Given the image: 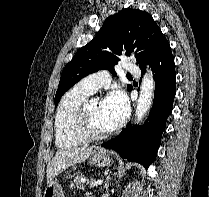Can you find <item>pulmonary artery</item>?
Listing matches in <instances>:
<instances>
[{"label":"pulmonary artery","instance_id":"1","mask_svg":"<svg viewBox=\"0 0 209 197\" xmlns=\"http://www.w3.org/2000/svg\"><path fill=\"white\" fill-rule=\"evenodd\" d=\"M126 70L129 74L139 76L140 69L138 66L129 62L126 66ZM110 82L109 74L106 71H98L96 73H92L85 78H83L79 85L83 88L87 89L88 91L94 93L100 88L104 87Z\"/></svg>","mask_w":209,"mask_h":197}]
</instances>
